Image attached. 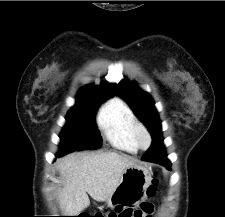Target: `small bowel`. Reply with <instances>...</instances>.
<instances>
[{
    "mask_svg": "<svg viewBox=\"0 0 225 217\" xmlns=\"http://www.w3.org/2000/svg\"><path fill=\"white\" fill-rule=\"evenodd\" d=\"M153 210V205L145 201L143 192L133 189L120 196L113 217H151Z\"/></svg>",
    "mask_w": 225,
    "mask_h": 217,
    "instance_id": "small-bowel-1",
    "label": "small bowel"
}]
</instances>
